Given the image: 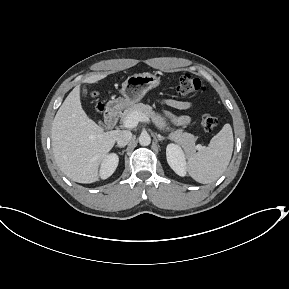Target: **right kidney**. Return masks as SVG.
<instances>
[{"label":"right kidney","mask_w":289,"mask_h":289,"mask_svg":"<svg viewBox=\"0 0 289 289\" xmlns=\"http://www.w3.org/2000/svg\"><path fill=\"white\" fill-rule=\"evenodd\" d=\"M119 158L115 153L108 154L101 163L100 176L102 179L110 177L118 166Z\"/></svg>","instance_id":"ca27d5eb"}]
</instances>
